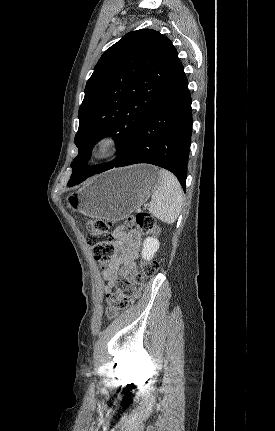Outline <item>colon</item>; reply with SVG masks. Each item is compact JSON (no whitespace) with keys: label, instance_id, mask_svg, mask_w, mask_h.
Returning a JSON list of instances; mask_svg holds the SVG:
<instances>
[{"label":"colon","instance_id":"1","mask_svg":"<svg viewBox=\"0 0 275 431\" xmlns=\"http://www.w3.org/2000/svg\"><path fill=\"white\" fill-rule=\"evenodd\" d=\"M85 224L89 228L87 243L98 264L106 268L112 261L115 250L109 232L111 223L102 219H87ZM129 227H138L144 232H153L156 228L154 218L146 212L137 213L128 219ZM159 264L155 260L140 264L138 271H133L130 277H123L116 283V291L106 296L104 313L108 319L116 318L127 307L129 299L134 295L135 285L141 283L146 277L157 273Z\"/></svg>","mask_w":275,"mask_h":431}]
</instances>
